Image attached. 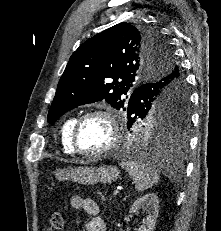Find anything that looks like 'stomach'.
<instances>
[{"label": "stomach", "mask_w": 221, "mask_h": 231, "mask_svg": "<svg viewBox=\"0 0 221 231\" xmlns=\"http://www.w3.org/2000/svg\"><path fill=\"white\" fill-rule=\"evenodd\" d=\"M158 156V155H156ZM159 159L158 157H153ZM55 176L58 180H71L80 184L93 185L96 183L110 184L119 178V171L113 166H84L57 169Z\"/></svg>", "instance_id": "obj_1"}]
</instances>
